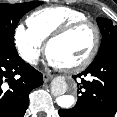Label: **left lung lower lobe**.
<instances>
[{"mask_svg": "<svg viewBox=\"0 0 117 117\" xmlns=\"http://www.w3.org/2000/svg\"><path fill=\"white\" fill-rule=\"evenodd\" d=\"M92 76L86 81L85 76ZM80 96L72 109L59 110L60 117H113L117 111V44L95 59L89 67L73 76Z\"/></svg>", "mask_w": 117, "mask_h": 117, "instance_id": "0a47b994", "label": "left lung lower lobe"}]
</instances>
